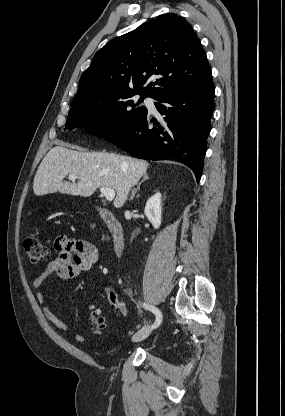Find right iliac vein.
<instances>
[{"mask_svg": "<svg viewBox=\"0 0 285 416\" xmlns=\"http://www.w3.org/2000/svg\"><path fill=\"white\" fill-rule=\"evenodd\" d=\"M152 329L153 328L149 324L145 325L141 330H139L133 335L132 340L134 342H139V341L144 340L145 338L149 336Z\"/></svg>", "mask_w": 285, "mask_h": 416, "instance_id": "1", "label": "right iliac vein"}]
</instances>
